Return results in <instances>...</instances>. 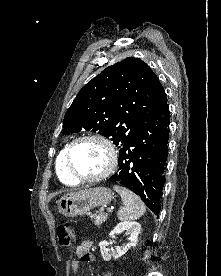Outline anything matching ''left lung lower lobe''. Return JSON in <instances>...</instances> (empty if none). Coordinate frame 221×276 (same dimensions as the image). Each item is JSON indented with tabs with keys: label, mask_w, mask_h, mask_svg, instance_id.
I'll return each instance as SVG.
<instances>
[{
	"label": "left lung lower lobe",
	"mask_w": 221,
	"mask_h": 276,
	"mask_svg": "<svg viewBox=\"0 0 221 276\" xmlns=\"http://www.w3.org/2000/svg\"><path fill=\"white\" fill-rule=\"evenodd\" d=\"M169 124L166 104L120 149L118 171L109 178L139 195L156 215L161 210Z\"/></svg>",
	"instance_id": "0a47b994"
}]
</instances>
